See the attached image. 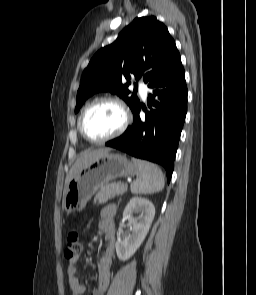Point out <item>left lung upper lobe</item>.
Returning <instances> with one entry per match:
<instances>
[{
    "label": "left lung upper lobe",
    "instance_id": "left-lung-upper-lobe-1",
    "mask_svg": "<svg viewBox=\"0 0 256 295\" xmlns=\"http://www.w3.org/2000/svg\"><path fill=\"white\" fill-rule=\"evenodd\" d=\"M179 60L175 41L163 23L154 16L136 18L111 45L100 49L83 71L75 112L99 91L117 94L135 110L140 102L136 95H129L131 78H143L149 86Z\"/></svg>",
    "mask_w": 256,
    "mask_h": 295
}]
</instances>
